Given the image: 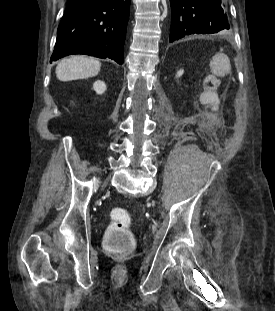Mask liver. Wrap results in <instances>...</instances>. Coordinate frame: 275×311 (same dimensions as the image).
I'll list each match as a JSON object with an SVG mask.
<instances>
[{"label": "liver", "instance_id": "liver-1", "mask_svg": "<svg viewBox=\"0 0 275 311\" xmlns=\"http://www.w3.org/2000/svg\"><path fill=\"white\" fill-rule=\"evenodd\" d=\"M101 63L97 59L85 56H73L61 60L56 67V76L60 81L86 79L97 75Z\"/></svg>", "mask_w": 275, "mask_h": 311}]
</instances>
